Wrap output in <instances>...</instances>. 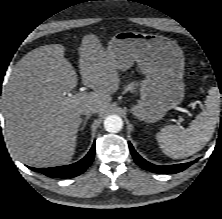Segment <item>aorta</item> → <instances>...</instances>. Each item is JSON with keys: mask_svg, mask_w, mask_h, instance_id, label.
<instances>
[{"mask_svg": "<svg viewBox=\"0 0 222 219\" xmlns=\"http://www.w3.org/2000/svg\"><path fill=\"white\" fill-rule=\"evenodd\" d=\"M123 127V121L118 115H109L104 120V128L107 132L117 133Z\"/></svg>", "mask_w": 222, "mask_h": 219, "instance_id": "obj_1", "label": "aorta"}]
</instances>
